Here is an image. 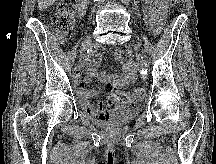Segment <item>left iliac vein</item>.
<instances>
[{"mask_svg": "<svg viewBox=\"0 0 216 164\" xmlns=\"http://www.w3.org/2000/svg\"><path fill=\"white\" fill-rule=\"evenodd\" d=\"M136 47H139V45H137L136 44ZM145 67V62H143V60L142 61H140V68H144Z\"/></svg>", "mask_w": 216, "mask_h": 164, "instance_id": "4c4485c4", "label": "left iliac vein"}]
</instances>
